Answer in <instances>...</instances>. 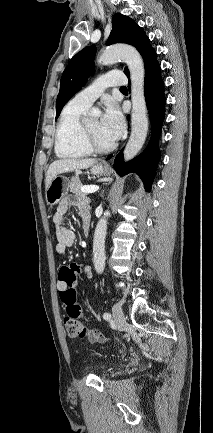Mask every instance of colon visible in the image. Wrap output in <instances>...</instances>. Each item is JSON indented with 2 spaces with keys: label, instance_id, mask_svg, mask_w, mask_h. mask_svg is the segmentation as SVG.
Here are the masks:
<instances>
[{
  "label": "colon",
  "instance_id": "1",
  "mask_svg": "<svg viewBox=\"0 0 213 433\" xmlns=\"http://www.w3.org/2000/svg\"><path fill=\"white\" fill-rule=\"evenodd\" d=\"M77 276V271L73 266H64L59 272V281L65 285L64 290L60 292L61 299L66 307V315L64 317L65 329L70 337L83 338L88 336L91 340H95L98 338L97 331H88L80 320L82 307L77 303L75 289Z\"/></svg>",
  "mask_w": 213,
  "mask_h": 433
}]
</instances>
